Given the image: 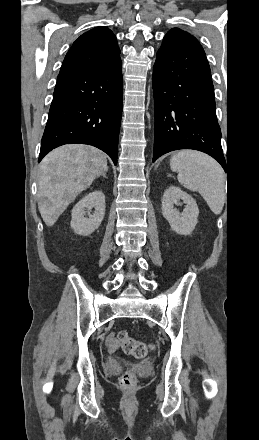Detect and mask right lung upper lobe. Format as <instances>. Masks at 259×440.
I'll return each instance as SVG.
<instances>
[{"label":"right lung upper lobe","mask_w":259,"mask_h":440,"mask_svg":"<svg viewBox=\"0 0 259 440\" xmlns=\"http://www.w3.org/2000/svg\"><path fill=\"white\" fill-rule=\"evenodd\" d=\"M120 49L113 32L96 27L82 34L65 56L60 74L78 73L106 65L119 58Z\"/></svg>","instance_id":"1"}]
</instances>
